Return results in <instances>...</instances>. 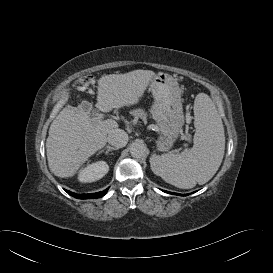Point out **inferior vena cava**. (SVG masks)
Here are the masks:
<instances>
[{
    "label": "inferior vena cava",
    "instance_id": "inferior-vena-cava-1",
    "mask_svg": "<svg viewBox=\"0 0 273 273\" xmlns=\"http://www.w3.org/2000/svg\"><path fill=\"white\" fill-rule=\"evenodd\" d=\"M107 142L116 148H122L128 142V134L124 130L113 129L108 133Z\"/></svg>",
    "mask_w": 273,
    "mask_h": 273
}]
</instances>
